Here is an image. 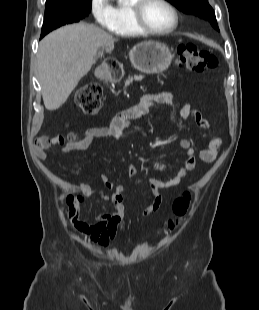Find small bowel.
Here are the masks:
<instances>
[{
  "mask_svg": "<svg viewBox=\"0 0 259 310\" xmlns=\"http://www.w3.org/2000/svg\"><path fill=\"white\" fill-rule=\"evenodd\" d=\"M155 103L167 104L177 112L179 118L187 119L193 116L200 127H208L207 121L203 119L201 114L194 110L191 105H181L168 93H151L144 95L137 105L118 113L109 126L91 128L84 132L77 144L67 143L63 136L37 138L33 147L34 154L41 160H47L49 158V149L52 146H59L60 152L66 153L71 150H85L95 141L102 138L119 140L128 128L130 121L136 117L147 114ZM221 145V137L218 135L212 136L207 147L200 152V160L205 163L215 160ZM180 146L186 150L187 159L185 164L181 166L177 173L168 181H161L155 178L149 180L153 200L151 204L143 210L142 215L144 217L156 213L161 207L163 201L161 194L162 189L178 185L195 169L196 157L191 142L188 139H182L180 141ZM155 167L159 171L164 169V165L160 163H155ZM100 177L107 188H115L112 194L102 195L96 192L85 180H81L77 187L88 197H100L110 202L113 205V211L99 216L92 223L74 220L72 226L78 233L87 235L91 242L98 244L101 248H106L124 228V221L126 219L122 195L124 185L115 184L105 174H101Z\"/></svg>",
  "mask_w": 259,
  "mask_h": 310,
  "instance_id": "obj_1",
  "label": "small bowel"
}]
</instances>
